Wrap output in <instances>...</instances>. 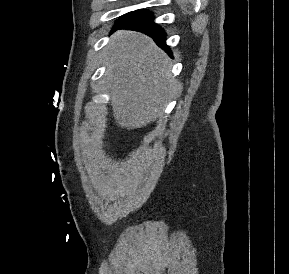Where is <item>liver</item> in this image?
I'll return each mask as SVG.
<instances>
[{
  "label": "liver",
  "instance_id": "obj_1",
  "mask_svg": "<svg viewBox=\"0 0 289 274\" xmlns=\"http://www.w3.org/2000/svg\"><path fill=\"white\" fill-rule=\"evenodd\" d=\"M106 51L116 123L128 130L146 126L162 114L177 92L169 57L151 38L133 31L115 33Z\"/></svg>",
  "mask_w": 289,
  "mask_h": 274
}]
</instances>
